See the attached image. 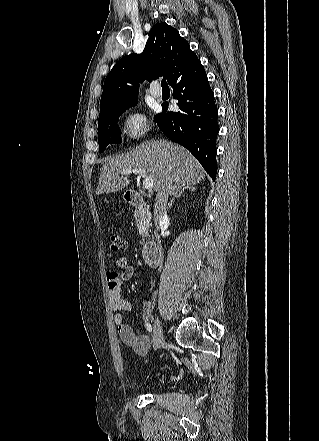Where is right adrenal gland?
Here are the masks:
<instances>
[{
    "mask_svg": "<svg viewBox=\"0 0 319 441\" xmlns=\"http://www.w3.org/2000/svg\"><path fill=\"white\" fill-rule=\"evenodd\" d=\"M185 189H186V190H189V191H194V190H195V187H194L193 185H187V187H185L183 190H181L178 194H176V195L172 198V200H171L170 203L168 204V209H170V208L172 207V204H173V202H174V200H175L176 198H179V197L182 196V194H183V192L185 191Z\"/></svg>",
    "mask_w": 319,
    "mask_h": 441,
    "instance_id": "right-adrenal-gland-1",
    "label": "right adrenal gland"
}]
</instances>
